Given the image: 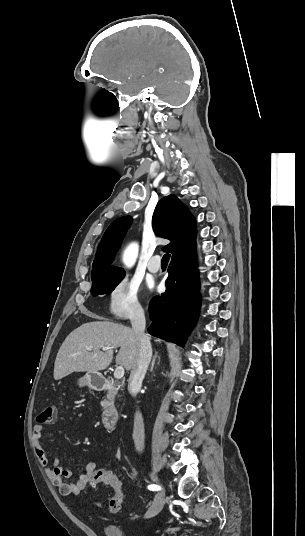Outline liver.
Segmentation results:
<instances>
[{"label": "liver", "mask_w": 305, "mask_h": 536, "mask_svg": "<svg viewBox=\"0 0 305 536\" xmlns=\"http://www.w3.org/2000/svg\"><path fill=\"white\" fill-rule=\"evenodd\" d=\"M97 320H105L95 316ZM92 348V350H85ZM101 348H108L101 352ZM114 348H120L116 364L133 370L139 356V340L131 328L113 322H89L76 328L64 340L54 364V380H61L72 372L106 370L113 360Z\"/></svg>", "instance_id": "6515ba94"}]
</instances>
